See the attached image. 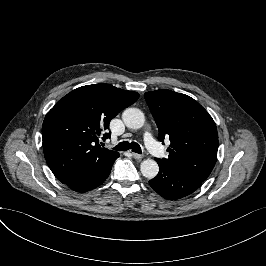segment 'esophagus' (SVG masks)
I'll return each mask as SVG.
<instances>
[{
  "instance_id": "34e87169",
  "label": "esophagus",
  "mask_w": 266,
  "mask_h": 266,
  "mask_svg": "<svg viewBox=\"0 0 266 266\" xmlns=\"http://www.w3.org/2000/svg\"><path fill=\"white\" fill-rule=\"evenodd\" d=\"M132 156H133V158L134 159H137V160H139V159H142L143 158V155H141V154H138V153H132Z\"/></svg>"
}]
</instances>
